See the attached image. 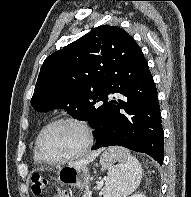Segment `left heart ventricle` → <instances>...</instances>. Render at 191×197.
<instances>
[{
    "instance_id": "1",
    "label": "left heart ventricle",
    "mask_w": 191,
    "mask_h": 197,
    "mask_svg": "<svg viewBox=\"0 0 191 197\" xmlns=\"http://www.w3.org/2000/svg\"><path fill=\"white\" fill-rule=\"evenodd\" d=\"M84 143V132L78 125L59 123L44 133L41 150L48 159L58 160L75 154Z\"/></svg>"
}]
</instances>
